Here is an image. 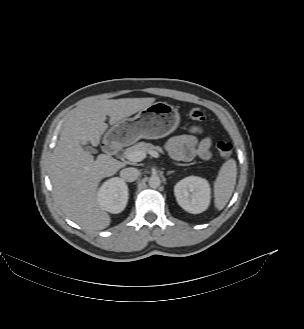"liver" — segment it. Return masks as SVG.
Masks as SVG:
<instances>
[{
  "label": "liver",
  "mask_w": 304,
  "mask_h": 329,
  "mask_svg": "<svg viewBox=\"0 0 304 329\" xmlns=\"http://www.w3.org/2000/svg\"><path fill=\"white\" fill-rule=\"evenodd\" d=\"M155 98H122L96 100L78 108L63 128L50 165V179L56 202L72 221L88 230H103L110 225L109 214L97 200V188L105 177L114 175L124 163L101 154L94 157L82 148L90 142L100 143L109 124L153 104Z\"/></svg>",
  "instance_id": "6515ba94"
}]
</instances>
